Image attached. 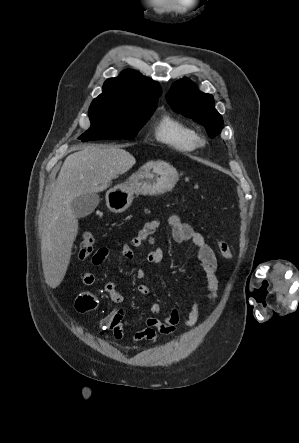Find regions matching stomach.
I'll list each match as a JSON object with an SVG mask.
<instances>
[{
  "label": "stomach",
  "instance_id": "0dacf381",
  "mask_svg": "<svg viewBox=\"0 0 299 443\" xmlns=\"http://www.w3.org/2000/svg\"><path fill=\"white\" fill-rule=\"evenodd\" d=\"M178 174L165 162H149L132 174L129 180L106 192L107 207L115 213L125 211L132 203L134 194L159 195L175 186Z\"/></svg>",
  "mask_w": 299,
  "mask_h": 443
}]
</instances>
